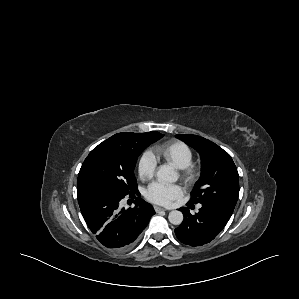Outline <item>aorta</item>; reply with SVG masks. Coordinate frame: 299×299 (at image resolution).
Wrapping results in <instances>:
<instances>
[{"label":"aorta","mask_w":299,"mask_h":299,"mask_svg":"<svg viewBox=\"0 0 299 299\" xmlns=\"http://www.w3.org/2000/svg\"><path fill=\"white\" fill-rule=\"evenodd\" d=\"M156 177L159 182H175L177 180V174L173 167L169 165H162L157 173ZM183 214L181 211L173 210L168 215V220L173 225H180L183 221Z\"/></svg>","instance_id":"1"}]
</instances>
